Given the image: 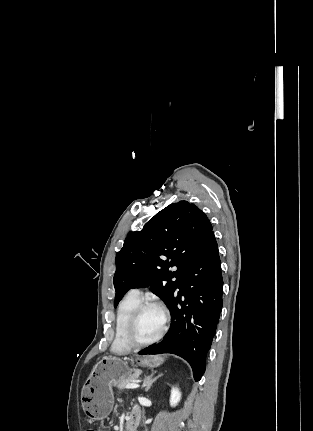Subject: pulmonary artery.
<instances>
[{
	"mask_svg": "<svg viewBox=\"0 0 313 431\" xmlns=\"http://www.w3.org/2000/svg\"><path fill=\"white\" fill-rule=\"evenodd\" d=\"M130 295H133L138 298H142V291L139 288H133L129 291Z\"/></svg>",
	"mask_w": 313,
	"mask_h": 431,
	"instance_id": "pulmonary-artery-1",
	"label": "pulmonary artery"
}]
</instances>
